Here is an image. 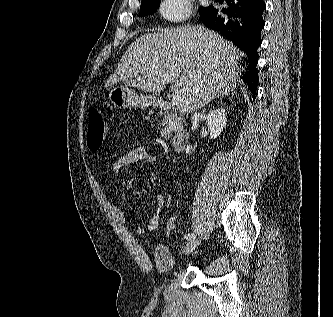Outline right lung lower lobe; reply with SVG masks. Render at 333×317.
I'll use <instances>...</instances> for the list:
<instances>
[{"mask_svg": "<svg viewBox=\"0 0 333 317\" xmlns=\"http://www.w3.org/2000/svg\"><path fill=\"white\" fill-rule=\"evenodd\" d=\"M227 9H222L225 17L218 15V10L209 6L200 13L203 24L232 41L247 54L246 71L241 76L255 99L258 73L257 49L261 45V30L265 25L262 14L266 8L263 0H226Z\"/></svg>", "mask_w": 333, "mask_h": 317, "instance_id": "obj_1", "label": "right lung lower lobe"}]
</instances>
